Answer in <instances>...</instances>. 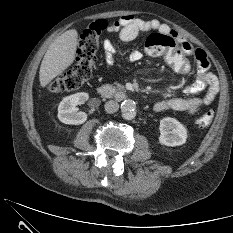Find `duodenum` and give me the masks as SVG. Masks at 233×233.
Here are the masks:
<instances>
[{
  "instance_id": "duodenum-1",
  "label": "duodenum",
  "mask_w": 233,
  "mask_h": 233,
  "mask_svg": "<svg viewBox=\"0 0 233 233\" xmlns=\"http://www.w3.org/2000/svg\"><path fill=\"white\" fill-rule=\"evenodd\" d=\"M99 95L103 98L110 99L116 96L125 97L126 93L110 85H100L97 89Z\"/></svg>"
}]
</instances>
